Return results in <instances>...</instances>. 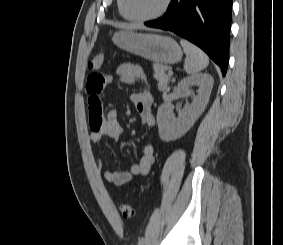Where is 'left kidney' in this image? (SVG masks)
Segmentation results:
<instances>
[{
  "label": "left kidney",
  "instance_id": "obj_1",
  "mask_svg": "<svg viewBox=\"0 0 283 245\" xmlns=\"http://www.w3.org/2000/svg\"><path fill=\"white\" fill-rule=\"evenodd\" d=\"M214 79L207 73L190 76L182 79L177 85L180 96L191 94V88L197 86V95L193 97L191 104H186L178 118L174 116V107L171 104H163L158 108L157 124L159 136L163 141L176 140L184 135L205 110L209 101Z\"/></svg>",
  "mask_w": 283,
  "mask_h": 245
}]
</instances>
